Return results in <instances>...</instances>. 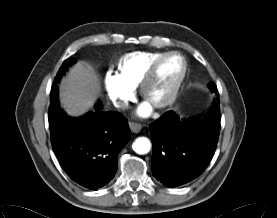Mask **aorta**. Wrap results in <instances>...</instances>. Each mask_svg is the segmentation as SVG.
I'll return each instance as SVG.
<instances>
[{
	"mask_svg": "<svg viewBox=\"0 0 277 218\" xmlns=\"http://www.w3.org/2000/svg\"><path fill=\"white\" fill-rule=\"evenodd\" d=\"M132 148L137 154H147L151 149V143L148 138L139 137L134 141Z\"/></svg>",
	"mask_w": 277,
	"mask_h": 218,
	"instance_id": "762f6f07",
	"label": "aorta"
}]
</instances>
